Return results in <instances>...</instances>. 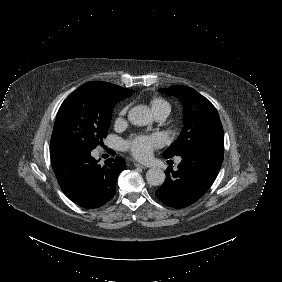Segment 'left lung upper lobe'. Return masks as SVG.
<instances>
[{"label":"left lung upper lobe","mask_w":282,"mask_h":282,"mask_svg":"<svg viewBox=\"0 0 282 282\" xmlns=\"http://www.w3.org/2000/svg\"><path fill=\"white\" fill-rule=\"evenodd\" d=\"M159 91L177 97L184 106L185 125L178 139L164 152L165 158L180 156L202 144L223 145V127L208 99L187 86L174 85Z\"/></svg>","instance_id":"left-lung-upper-lobe-1"}]
</instances>
